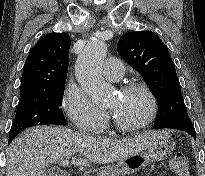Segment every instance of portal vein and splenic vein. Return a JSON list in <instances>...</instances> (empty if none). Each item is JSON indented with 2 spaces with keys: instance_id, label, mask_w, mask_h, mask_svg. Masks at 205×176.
I'll return each instance as SVG.
<instances>
[{
  "instance_id": "18ae733b",
  "label": "portal vein and splenic vein",
  "mask_w": 205,
  "mask_h": 176,
  "mask_svg": "<svg viewBox=\"0 0 205 176\" xmlns=\"http://www.w3.org/2000/svg\"><path fill=\"white\" fill-rule=\"evenodd\" d=\"M62 165H63V166L69 165V160H67V159H66V160H63V161H62Z\"/></svg>"
}]
</instances>
